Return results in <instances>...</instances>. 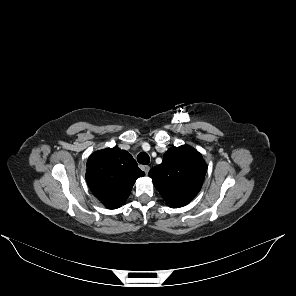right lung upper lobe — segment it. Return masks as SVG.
I'll use <instances>...</instances> for the list:
<instances>
[{"label": "right lung upper lobe", "instance_id": "right-lung-upper-lobe-1", "mask_svg": "<svg viewBox=\"0 0 296 296\" xmlns=\"http://www.w3.org/2000/svg\"><path fill=\"white\" fill-rule=\"evenodd\" d=\"M144 175L132 155L117 146L96 151L87 161V184L108 209L119 208L136 179Z\"/></svg>", "mask_w": 296, "mask_h": 296}]
</instances>
